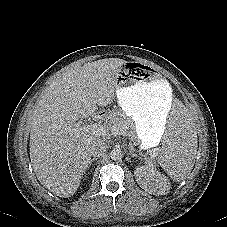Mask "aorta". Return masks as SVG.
<instances>
[{
	"label": "aorta",
	"mask_w": 227,
	"mask_h": 227,
	"mask_svg": "<svg viewBox=\"0 0 227 227\" xmlns=\"http://www.w3.org/2000/svg\"><path fill=\"white\" fill-rule=\"evenodd\" d=\"M110 157L112 160L116 161L122 158V152L120 149H113L110 152Z\"/></svg>",
	"instance_id": "1"
}]
</instances>
